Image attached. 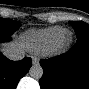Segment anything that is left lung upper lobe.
I'll return each mask as SVG.
<instances>
[{
    "mask_svg": "<svg viewBox=\"0 0 89 89\" xmlns=\"http://www.w3.org/2000/svg\"><path fill=\"white\" fill-rule=\"evenodd\" d=\"M76 32L77 38L88 37L89 38V25L83 21H70L69 22Z\"/></svg>",
    "mask_w": 89,
    "mask_h": 89,
    "instance_id": "5c2ea615",
    "label": "left lung upper lobe"
}]
</instances>
